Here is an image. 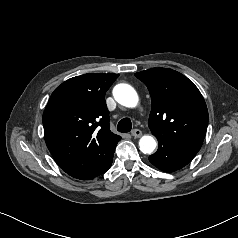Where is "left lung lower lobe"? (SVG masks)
Returning a JSON list of instances; mask_svg holds the SVG:
<instances>
[{
  "mask_svg": "<svg viewBox=\"0 0 238 238\" xmlns=\"http://www.w3.org/2000/svg\"><path fill=\"white\" fill-rule=\"evenodd\" d=\"M196 154L194 151L159 144L157 152L149 156V161L162 171L173 172L186 166Z\"/></svg>",
  "mask_w": 238,
  "mask_h": 238,
  "instance_id": "obj_1",
  "label": "left lung lower lobe"
}]
</instances>
